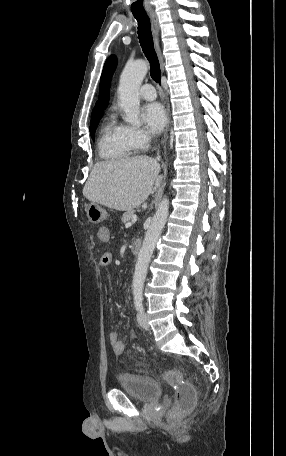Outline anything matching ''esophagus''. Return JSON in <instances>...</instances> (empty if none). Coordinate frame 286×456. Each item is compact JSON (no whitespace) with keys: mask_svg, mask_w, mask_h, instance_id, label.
<instances>
[{"mask_svg":"<svg viewBox=\"0 0 286 456\" xmlns=\"http://www.w3.org/2000/svg\"><path fill=\"white\" fill-rule=\"evenodd\" d=\"M148 16L151 20L152 31H153V35H154L155 49H156V52H157V55L159 58L161 71L164 72V69H165L164 57L162 55V51L159 46L160 26H159L158 17H157V14L155 11H149ZM166 114H167V124H166L165 136H164V143H166L168 140V131H169V126H170V107L167 103H166Z\"/></svg>","mask_w":286,"mask_h":456,"instance_id":"1","label":"esophagus"}]
</instances>
